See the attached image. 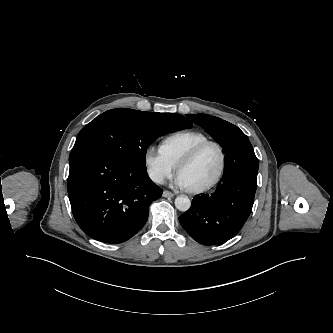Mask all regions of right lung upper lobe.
Wrapping results in <instances>:
<instances>
[{
	"mask_svg": "<svg viewBox=\"0 0 333 333\" xmlns=\"http://www.w3.org/2000/svg\"><path fill=\"white\" fill-rule=\"evenodd\" d=\"M145 115H147V116H151V117H153V118H161V117H165V116H168L170 113H153V112H143ZM176 115H178L180 118H182L184 121H186L187 123H189V124H192V122L189 120V119H187V118H185L184 116H181V115H179V114H176Z\"/></svg>",
	"mask_w": 333,
	"mask_h": 333,
	"instance_id": "1",
	"label": "right lung upper lobe"
}]
</instances>
